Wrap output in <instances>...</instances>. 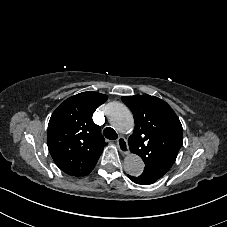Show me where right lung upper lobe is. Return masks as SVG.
Segmentation results:
<instances>
[{
  "instance_id": "right-lung-upper-lobe-1",
  "label": "right lung upper lobe",
  "mask_w": 227,
  "mask_h": 227,
  "mask_svg": "<svg viewBox=\"0 0 227 227\" xmlns=\"http://www.w3.org/2000/svg\"><path fill=\"white\" fill-rule=\"evenodd\" d=\"M107 98L92 91L82 92L65 100L53 112L47 144L54 162L65 173L84 176L96 165L107 143L92 115Z\"/></svg>"
}]
</instances>
